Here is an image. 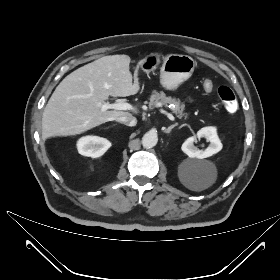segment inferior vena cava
Wrapping results in <instances>:
<instances>
[{
  "label": "inferior vena cava",
  "mask_w": 280,
  "mask_h": 280,
  "mask_svg": "<svg viewBox=\"0 0 280 280\" xmlns=\"http://www.w3.org/2000/svg\"><path fill=\"white\" fill-rule=\"evenodd\" d=\"M117 122L122 123L126 126H135L137 120L134 116H121L115 119Z\"/></svg>",
  "instance_id": "obj_1"
}]
</instances>
